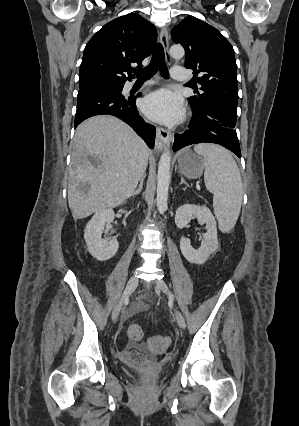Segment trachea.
<instances>
[{"mask_svg":"<svg viewBox=\"0 0 299 426\" xmlns=\"http://www.w3.org/2000/svg\"><path fill=\"white\" fill-rule=\"evenodd\" d=\"M158 70L163 77H168V72L165 65L164 49L160 43L155 46L150 64L142 69L135 70L134 73L136 74L138 80H147L151 78Z\"/></svg>","mask_w":299,"mask_h":426,"instance_id":"1","label":"trachea"}]
</instances>
